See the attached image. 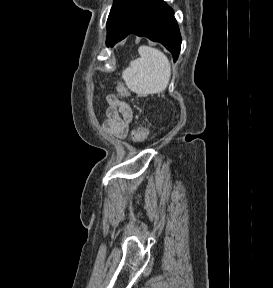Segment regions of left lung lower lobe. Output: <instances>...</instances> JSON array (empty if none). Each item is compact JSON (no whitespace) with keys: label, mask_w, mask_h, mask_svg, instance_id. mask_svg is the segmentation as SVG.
I'll return each instance as SVG.
<instances>
[{"label":"left lung lower lobe","mask_w":273,"mask_h":288,"mask_svg":"<svg viewBox=\"0 0 273 288\" xmlns=\"http://www.w3.org/2000/svg\"><path fill=\"white\" fill-rule=\"evenodd\" d=\"M129 34L146 36L163 44L176 61L181 35L173 10L163 0H131L122 14L114 35L106 42L114 46Z\"/></svg>","instance_id":"1"}]
</instances>
